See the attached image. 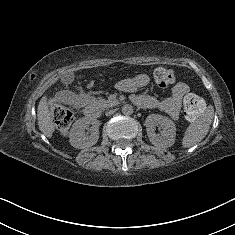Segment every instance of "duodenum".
I'll return each instance as SVG.
<instances>
[{
  "label": "duodenum",
  "instance_id": "1",
  "mask_svg": "<svg viewBox=\"0 0 235 235\" xmlns=\"http://www.w3.org/2000/svg\"><path fill=\"white\" fill-rule=\"evenodd\" d=\"M86 115L89 118H96L98 117V109L94 107L93 105L88 104L86 106Z\"/></svg>",
  "mask_w": 235,
  "mask_h": 235
}]
</instances>
